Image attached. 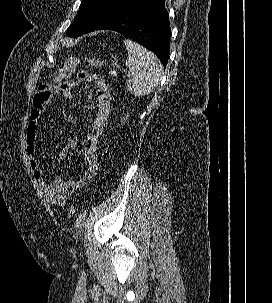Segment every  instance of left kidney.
<instances>
[{
	"label": "left kidney",
	"instance_id": "1",
	"mask_svg": "<svg viewBox=\"0 0 272 303\" xmlns=\"http://www.w3.org/2000/svg\"><path fill=\"white\" fill-rule=\"evenodd\" d=\"M129 115H126V118H124L123 120L126 121L128 119ZM122 123V120H121Z\"/></svg>",
	"mask_w": 272,
	"mask_h": 303
}]
</instances>
